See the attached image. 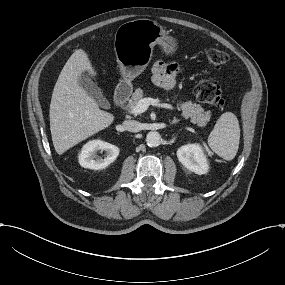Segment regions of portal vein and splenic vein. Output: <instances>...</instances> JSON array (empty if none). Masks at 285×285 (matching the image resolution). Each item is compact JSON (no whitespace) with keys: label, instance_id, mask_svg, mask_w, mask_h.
Masks as SVG:
<instances>
[{"label":"portal vein and splenic vein","instance_id":"1","mask_svg":"<svg viewBox=\"0 0 285 285\" xmlns=\"http://www.w3.org/2000/svg\"><path fill=\"white\" fill-rule=\"evenodd\" d=\"M149 105H152L157 108L175 110V106H173L170 103L159 102L157 99H154V98H144V99H141L135 106L131 108H127L125 110V113L138 116L144 113L149 107Z\"/></svg>","mask_w":285,"mask_h":285}]
</instances>
